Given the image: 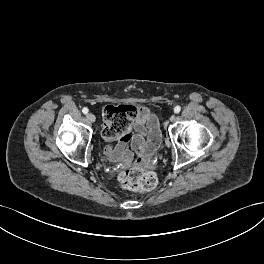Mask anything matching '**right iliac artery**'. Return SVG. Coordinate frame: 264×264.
Listing matches in <instances>:
<instances>
[{
  "mask_svg": "<svg viewBox=\"0 0 264 264\" xmlns=\"http://www.w3.org/2000/svg\"><path fill=\"white\" fill-rule=\"evenodd\" d=\"M82 112H83L84 114H87V113H88V108L84 107V108L82 109Z\"/></svg>",
  "mask_w": 264,
  "mask_h": 264,
  "instance_id": "82829eb1",
  "label": "right iliac artery"
}]
</instances>
